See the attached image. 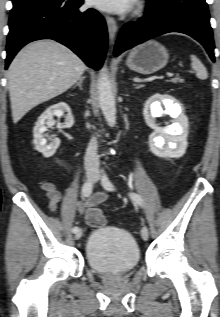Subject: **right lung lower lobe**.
Listing matches in <instances>:
<instances>
[{"label": "right lung lower lobe", "instance_id": "98d812e1", "mask_svg": "<svg viewBox=\"0 0 220 317\" xmlns=\"http://www.w3.org/2000/svg\"><path fill=\"white\" fill-rule=\"evenodd\" d=\"M83 0H31L13 5L7 39L6 69L27 43L53 39L73 50L89 67L98 70L107 47V29L95 10L79 12Z\"/></svg>", "mask_w": 220, "mask_h": 317}]
</instances>
